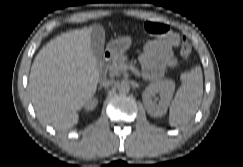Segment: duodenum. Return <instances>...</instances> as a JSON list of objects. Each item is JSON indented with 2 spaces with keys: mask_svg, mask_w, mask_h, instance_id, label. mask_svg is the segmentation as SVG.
I'll return each instance as SVG.
<instances>
[{
  "mask_svg": "<svg viewBox=\"0 0 243 167\" xmlns=\"http://www.w3.org/2000/svg\"><path fill=\"white\" fill-rule=\"evenodd\" d=\"M112 56L113 55H112L111 52H106L104 54L103 60L100 64V66H99V75H100L101 78L105 77V73H106V70H107V64L111 60Z\"/></svg>",
  "mask_w": 243,
  "mask_h": 167,
  "instance_id": "410a0bca",
  "label": "duodenum"
}]
</instances>
